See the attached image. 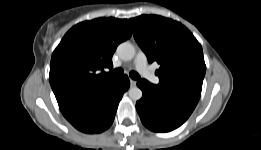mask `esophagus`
Listing matches in <instances>:
<instances>
[{
	"label": "esophagus",
	"instance_id": "1",
	"mask_svg": "<svg viewBox=\"0 0 261 150\" xmlns=\"http://www.w3.org/2000/svg\"><path fill=\"white\" fill-rule=\"evenodd\" d=\"M130 85L131 87H135L136 86V81L133 79H130Z\"/></svg>",
	"mask_w": 261,
	"mask_h": 150
}]
</instances>
